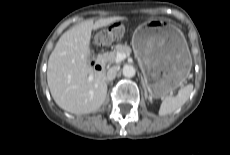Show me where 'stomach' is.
Listing matches in <instances>:
<instances>
[{
	"instance_id": "1",
	"label": "stomach",
	"mask_w": 230,
	"mask_h": 155,
	"mask_svg": "<svg viewBox=\"0 0 230 155\" xmlns=\"http://www.w3.org/2000/svg\"><path fill=\"white\" fill-rule=\"evenodd\" d=\"M150 98H165L186 81L191 55L181 31L164 20L139 25L131 42Z\"/></svg>"
}]
</instances>
